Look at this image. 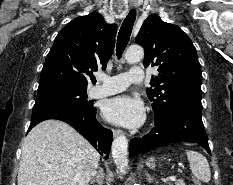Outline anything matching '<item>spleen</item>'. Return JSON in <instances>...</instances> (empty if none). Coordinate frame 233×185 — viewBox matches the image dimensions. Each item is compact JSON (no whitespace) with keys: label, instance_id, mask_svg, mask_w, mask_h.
<instances>
[{"label":"spleen","instance_id":"3e777b00","mask_svg":"<svg viewBox=\"0 0 233 185\" xmlns=\"http://www.w3.org/2000/svg\"><path fill=\"white\" fill-rule=\"evenodd\" d=\"M186 155L190 163V169L196 178L202 182H209L211 173L207 159L199 152L192 150H187Z\"/></svg>","mask_w":233,"mask_h":185}]
</instances>
